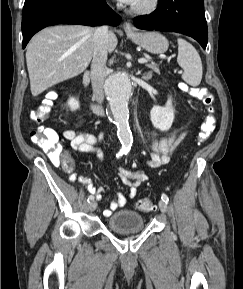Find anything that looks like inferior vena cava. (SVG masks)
<instances>
[{
  "mask_svg": "<svg viewBox=\"0 0 243 289\" xmlns=\"http://www.w3.org/2000/svg\"><path fill=\"white\" fill-rule=\"evenodd\" d=\"M108 26H100L94 32V52L91 64V80L93 88V98L102 103L104 99V80L107 74V55H108Z\"/></svg>",
  "mask_w": 243,
  "mask_h": 289,
  "instance_id": "obj_1",
  "label": "inferior vena cava"
}]
</instances>
